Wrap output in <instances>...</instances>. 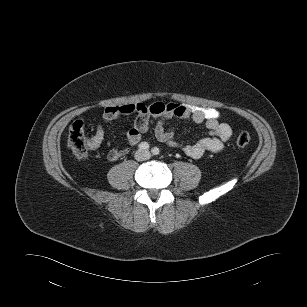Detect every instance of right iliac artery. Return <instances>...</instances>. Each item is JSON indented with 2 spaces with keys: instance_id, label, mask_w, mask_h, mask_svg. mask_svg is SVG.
Returning <instances> with one entry per match:
<instances>
[{
  "instance_id": "82829eb1",
  "label": "right iliac artery",
  "mask_w": 307,
  "mask_h": 307,
  "mask_svg": "<svg viewBox=\"0 0 307 307\" xmlns=\"http://www.w3.org/2000/svg\"><path fill=\"white\" fill-rule=\"evenodd\" d=\"M138 148L140 150H147L149 149V144L147 142H141L139 145H138Z\"/></svg>"
}]
</instances>
